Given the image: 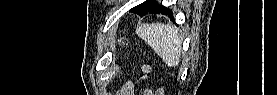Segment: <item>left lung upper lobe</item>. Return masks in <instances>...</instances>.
Here are the masks:
<instances>
[{
	"mask_svg": "<svg viewBox=\"0 0 277 95\" xmlns=\"http://www.w3.org/2000/svg\"><path fill=\"white\" fill-rule=\"evenodd\" d=\"M156 5H158V3H157V2H155V1H153V6H156Z\"/></svg>",
	"mask_w": 277,
	"mask_h": 95,
	"instance_id": "left-lung-upper-lobe-1",
	"label": "left lung upper lobe"
}]
</instances>
